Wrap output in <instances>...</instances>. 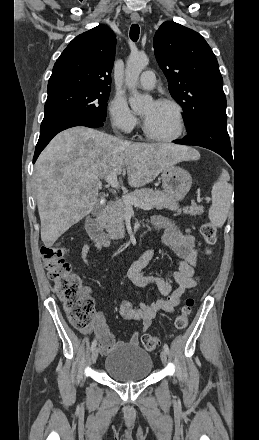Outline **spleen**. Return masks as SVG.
<instances>
[{
    "instance_id": "obj_1",
    "label": "spleen",
    "mask_w": 259,
    "mask_h": 440,
    "mask_svg": "<svg viewBox=\"0 0 259 440\" xmlns=\"http://www.w3.org/2000/svg\"><path fill=\"white\" fill-rule=\"evenodd\" d=\"M230 176L222 170L219 180L212 188V205L209 209V219L216 227H222L227 219L231 204L232 186L228 183Z\"/></svg>"
}]
</instances>
